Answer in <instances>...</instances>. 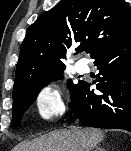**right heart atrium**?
Here are the masks:
<instances>
[{
	"label": "right heart atrium",
	"mask_w": 131,
	"mask_h": 151,
	"mask_svg": "<svg viewBox=\"0 0 131 151\" xmlns=\"http://www.w3.org/2000/svg\"><path fill=\"white\" fill-rule=\"evenodd\" d=\"M36 107L40 117L49 120L64 111L65 103L58 88L46 85L37 94Z\"/></svg>",
	"instance_id": "obj_1"
}]
</instances>
